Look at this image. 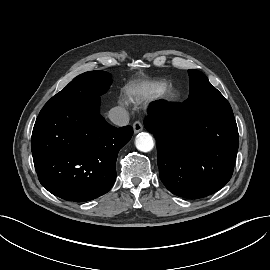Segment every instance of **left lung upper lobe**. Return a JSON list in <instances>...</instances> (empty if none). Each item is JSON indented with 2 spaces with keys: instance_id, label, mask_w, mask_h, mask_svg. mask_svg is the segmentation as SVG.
Masks as SVG:
<instances>
[{
  "instance_id": "1",
  "label": "left lung upper lobe",
  "mask_w": 270,
  "mask_h": 270,
  "mask_svg": "<svg viewBox=\"0 0 270 270\" xmlns=\"http://www.w3.org/2000/svg\"><path fill=\"white\" fill-rule=\"evenodd\" d=\"M190 92L194 97L197 110L201 114L214 115L233 113L224 96L211 85L207 77L198 70H189Z\"/></svg>"
}]
</instances>
